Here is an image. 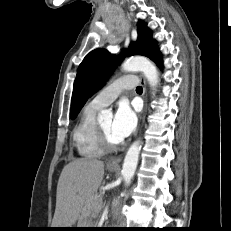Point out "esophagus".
<instances>
[{
  "instance_id": "1",
  "label": "esophagus",
  "mask_w": 231,
  "mask_h": 231,
  "mask_svg": "<svg viewBox=\"0 0 231 231\" xmlns=\"http://www.w3.org/2000/svg\"><path fill=\"white\" fill-rule=\"evenodd\" d=\"M141 82L143 84V96H144L146 93V82H145V79L143 77H141ZM121 159H122L121 156H119L117 158H112V159L108 160L107 165L111 166V167H118Z\"/></svg>"
}]
</instances>
